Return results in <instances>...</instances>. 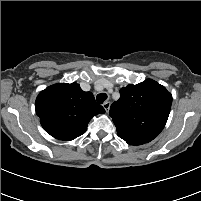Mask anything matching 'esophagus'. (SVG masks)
<instances>
[{
	"label": "esophagus",
	"instance_id": "1",
	"mask_svg": "<svg viewBox=\"0 0 201 201\" xmlns=\"http://www.w3.org/2000/svg\"><path fill=\"white\" fill-rule=\"evenodd\" d=\"M110 102L109 101H105L103 103V108L105 109L106 112H109V109H110Z\"/></svg>",
	"mask_w": 201,
	"mask_h": 201
}]
</instances>
